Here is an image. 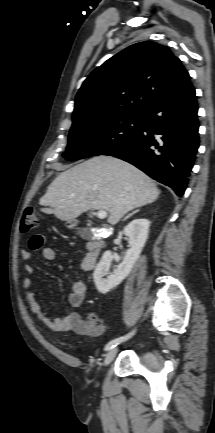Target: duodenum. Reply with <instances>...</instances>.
Instances as JSON below:
<instances>
[{
    "instance_id": "410a0bca",
    "label": "duodenum",
    "mask_w": 215,
    "mask_h": 433,
    "mask_svg": "<svg viewBox=\"0 0 215 433\" xmlns=\"http://www.w3.org/2000/svg\"><path fill=\"white\" fill-rule=\"evenodd\" d=\"M70 224L71 226L77 225L76 221H71ZM103 237H104L103 234H100L96 238L90 240L87 244L88 253L95 260L98 258V256L102 251L103 243H104Z\"/></svg>"
}]
</instances>
